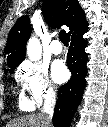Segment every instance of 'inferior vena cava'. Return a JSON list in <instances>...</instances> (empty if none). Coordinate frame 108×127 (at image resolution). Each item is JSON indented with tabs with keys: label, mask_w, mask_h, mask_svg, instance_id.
I'll return each instance as SVG.
<instances>
[{
	"label": "inferior vena cava",
	"mask_w": 108,
	"mask_h": 127,
	"mask_svg": "<svg viewBox=\"0 0 108 127\" xmlns=\"http://www.w3.org/2000/svg\"><path fill=\"white\" fill-rule=\"evenodd\" d=\"M56 103V93L53 89H49L45 94L44 106L41 114L44 116L45 126L52 127V116Z\"/></svg>",
	"instance_id": "602c4592"
}]
</instances>
